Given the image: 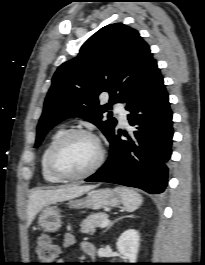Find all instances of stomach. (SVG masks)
<instances>
[{
  "mask_svg": "<svg viewBox=\"0 0 205 265\" xmlns=\"http://www.w3.org/2000/svg\"><path fill=\"white\" fill-rule=\"evenodd\" d=\"M121 197L115 190L104 188L91 190L86 197L70 200L71 208H89L99 210L103 207H117L121 204ZM38 223L46 232H56L62 225L60 211L57 206L45 207L39 215Z\"/></svg>",
  "mask_w": 205,
  "mask_h": 265,
  "instance_id": "obj_1",
  "label": "stomach"
}]
</instances>
